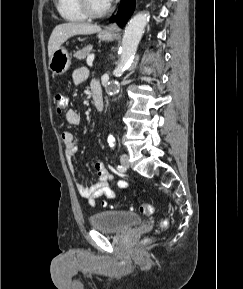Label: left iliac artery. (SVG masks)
Listing matches in <instances>:
<instances>
[{"label":"left iliac artery","instance_id":"left-iliac-artery-1","mask_svg":"<svg viewBox=\"0 0 243 289\" xmlns=\"http://www.w3.org/2000/svg\"><path fill=\"white\" fill-rule=\"evenodd\" d=\"M117 170H119V171H121V172H122V171H124L125 169H124V167H123V166H121V165H118V166H117Z\"/></svg>","mask_w":243,"mask_h":289}]
</instances>
